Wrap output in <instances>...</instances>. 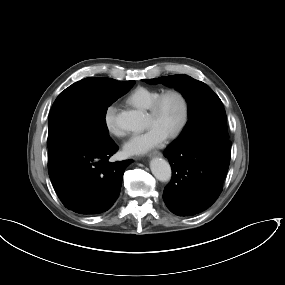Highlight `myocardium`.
<instances>
[{
  "label": "myocardium",
  "instance_id": "f54148a6",
  "mask_svg": "<svg viewBox=\"0 0 285 285\" xmlns=\"http://www.w3.org/2000/svg\"><path fill=\"white\" fill-rule=\"evenodd\" d=\"M170 95H175L180 99L182 103V109H183L182 117H181L179 124L173 131H171L167 135L168 138L173 139V138L178 137L183 132L189 120L190 105H189V100L187 96L185 95V93L179 89H174V88L165 90L158 95V97L153 101V103L151 104L148 110L151 115L153 116L158 115L163 101Z\"/></svg>",
  "mask_w": 285,
  "mask_h": 285
}]
</instances>
